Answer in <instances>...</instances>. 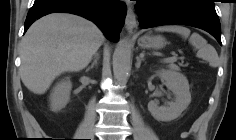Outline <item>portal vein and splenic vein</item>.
<instances>
[{"label": "portal vein and splenic vein", "mask_w": 236, "mask_h": 140, "mask_svg": "<svg viewBox=\"0 0 236 140\" xmlns=\"http://www.w3.org/2000/svg\"><path fill=\"white\" fill-rule=\"evenodd\" d=\"M164 61L165 62H175V61H177V57L176 56L169 57V58H166Z\"/></svg>", "instance_id": "18ae733b"}]
</instances>
